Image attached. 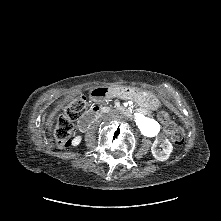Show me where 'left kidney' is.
I'll return each mask as SVG.
<instances>
[{
    "label": "left kidney",
    "mask_w": 221,
    "mask_h": 221,
    "mask_svg": "<svg viewBox=\"0 0 221 221\" xmlns=\"http://www.w3.org/2000/svg\"><path fill=\"white\" fill-rule=\"evenodd\" d=\"M158 147H162V149ZM172 151L173 146L167 138L156 139L151 147L153 157L159 161H166L170 157Z\"/></svg>",
    "instance_id": "5707ae66"
}]
</instances>
